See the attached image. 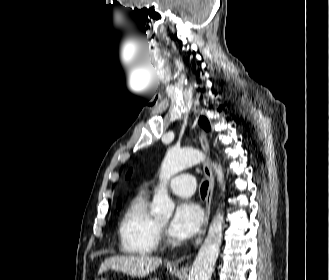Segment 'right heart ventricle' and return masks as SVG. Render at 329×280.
Instances as JSON below:
<instances>
[{
    "instance_id": "1",
    "label": "right heart ventricle",
    "mask_w": 329,
    "mask_h": 280,
    "mask_svg": "<svg viewBox=\"0 0 329 280\" xmlns=\"http://www.w3.org/2000/svg\"><path fill=\"white\" fill-rule=\"evenodd\" d=\"M120 246L126 254L145 256L158 245L159 226L148 209V197L140 194L129 204L119 225Z\"/></svg>"
}]
</instances>
